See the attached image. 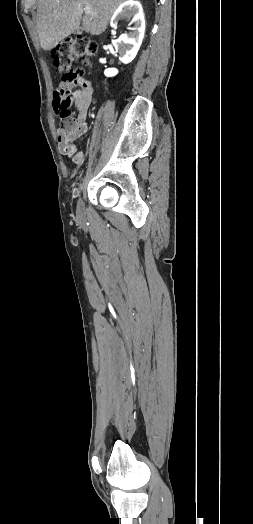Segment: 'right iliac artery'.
Returning a JSON list of instances; mask_svg holds the SVG:
<instances>
[{"label": "right iliac artery", "mask_w": 253, "mask_h": 524, "mask_svg": "<svg viewBox=\"0 0 253 524\" xmlns=\"http://www.w3.org/2000/svg\"><path fill=\"white\" fill-rule=\"evenodd\" d=\"M81 190H82V184H79V188L77 192L75 193L74 197H77L80 194Z\"/></svg>", "instance_id": "82829eb1"}]
</instances>
